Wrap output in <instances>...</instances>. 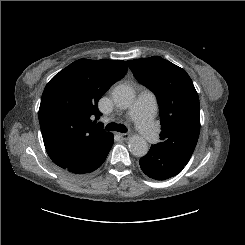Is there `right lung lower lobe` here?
Here are the masks:
<instances>
[{"label":"right lung lower lobe","instance_id":"right-lung-lower-lobe-1","mask_svg":"<svg viewBox=\"0 0 245 245\" xmlns=\"http://www.w3.org/2000/svg\"><path fill=\"white\" fill-rule=\"evenodd\" d=\"M112 145L113 135L109 133L97 142L78 163L66 168V170L75 176H84L93 172L103 164Z\"/></svg>","mask_w":245,"mask_h":245}]
</instances>
